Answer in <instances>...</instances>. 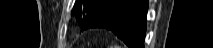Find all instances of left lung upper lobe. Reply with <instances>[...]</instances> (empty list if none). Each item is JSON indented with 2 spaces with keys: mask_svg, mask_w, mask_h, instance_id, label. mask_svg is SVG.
Instances as JSON below:
<instances>
[{
  "mask_svg": "<svg viewBox=\"0 0 213 48\" xmlns=\"http://www.w3.org/2000/svg\"><path fill=\"white\" fill-rule=\"evenodd\" d=\"M112 0H76L74 12L79 25L83 28L91 17Z\"/></svg>",
  "mask_w": 213,
  "mask_h": 48,
  "instance_id": "left-lung-upper-lobe-1",
  "label": "left lung upper lobe"
}]
</instances>
